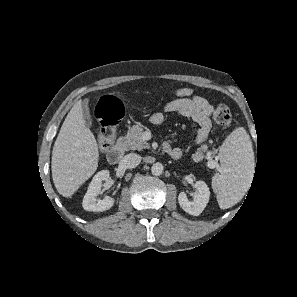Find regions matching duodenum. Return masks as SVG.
<instances>
[{"instance_id": "obj_1", "label": "duodenum", "mask_w": 297, "mask_h": 297, "mask_svg": "<svg viewBox=\"0 0 297 297\" xmlns=\"http://www.w3.org/2000/svg\"><path fill=\"white\" fill-rule=\"evenodd\" d=\"M163 150L167 152L166 147ZM124 154V145L121 141L117 142L107 154V159L111 164H117Z\"/></svg>"}]
</instances>
